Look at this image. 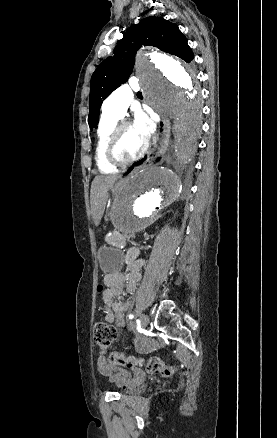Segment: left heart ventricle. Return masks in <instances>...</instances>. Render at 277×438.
Segmentation results:
<instances>
[{
  "mask_svg": "<svg viewBox=\"0 0 277 438\" xmlns=\"http://www.w3.org/2000/svg\"><path fill=\"white\" fill-rule=\"evenodd\" d=\"M144 143L133 126L125 127L120 136L119 155L124 159L137 156L143 149Z\"/></svg>",
  "mask_w": 277,
  "mask_h": 438,
  "instance_id": "1",
  "label": "left heart ventricle"
}]
</instances>
